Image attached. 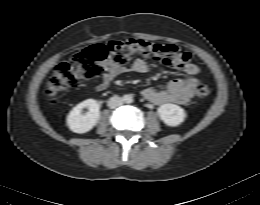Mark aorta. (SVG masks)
I'll return each mask as SVG.
<instances>
[{
  "label": "aorta",
  "mask_w": 260,
  "mask_h": 205,
  "mask_svg": "<svg viewBox=\"0 0 260 205\" xmlns=\"http://www.w3.org/2000/svg\"><path fill=\"white\" fill-rule=\"evenodd\" d=\"M133 101V99H132V96L131 95H126L125 96V102L126 103H131Z\"/></svg>",
  "instance_id": "1"
}]
</instances>
